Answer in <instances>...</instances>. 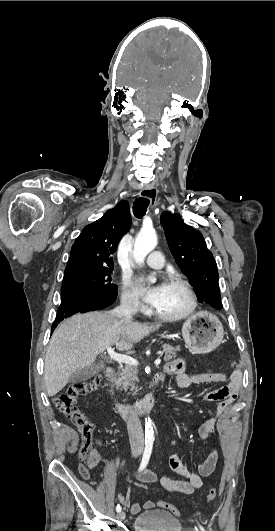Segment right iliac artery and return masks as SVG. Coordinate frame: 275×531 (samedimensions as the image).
<instances>
[{
    "label": "right iliac artery",
    "mask_w": 275,
    "mask_h": 531,
    "mask_svg": "<svg viewBox=\"0 0 275 531\" xmlns=\"http://www.w3.org/2000/svg\"><path fill=\"white\" fill-rule=\"evenodd\" d=\"M152 447H153V440H146L145 441V450H144V453H143V457H142V461H141V464H140V467H139V471L143 470L146 465L148 464V461L150 459V455H151V452H152ZM116 511L117 512H120L121 511V506L118 504L116 506Z\"/></svg>",
    "instance_id": "82829eb1"
}]
</instances>
